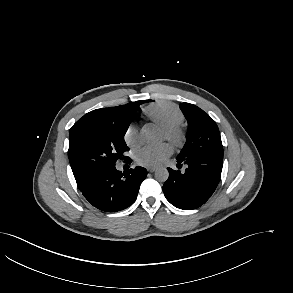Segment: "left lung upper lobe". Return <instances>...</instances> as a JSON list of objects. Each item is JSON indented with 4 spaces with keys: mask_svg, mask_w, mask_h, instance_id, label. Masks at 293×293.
<instances>
[{
    "mask_svg": "<svg viewBox=\"0 0 293 293\" xmlns=\"http://www.w3.org/2000/svg\"><path fill=\"white\" fill-rule=\"evenodd\" d=\"M180 108L188 121V136L177 158L204 154L223 160V146L215 121L193 104L182 103Z\"/></svg>",
    "mask_w": 293,
    "mask_h": 293,
    "instance_id": "obj_1",
    "label": "left lung upper lobe"
}]
</instances>
